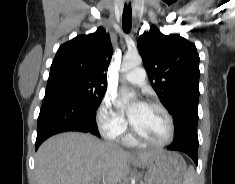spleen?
Returning <instances> with one entry per match:
<instances>
[{"instance_id":"3e777b00","label":"spleen","mask_w":235,"mask_h":184,"mask_svg":"<svg viewBox=\"0 0 235 184\" xmlns=\"http://www.w3.org/2000/svg\"><path fill=\"white\" fill-rule=\"evenodd\" d=\"M196 178L193 166H189L187 172H185L183 184H196Z\"/></svg>"}]
</instances>
